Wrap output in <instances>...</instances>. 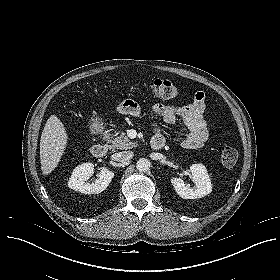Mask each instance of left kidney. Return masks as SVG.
<instances>
[{
    "label": "left kidney",
    "mask_w": 280,
    "mask_h": 280,
    "mask_svg": "<svg viewBox=\"0 0 280 280\" xmlns=\"http://www.w3.org/2000/svg\"><path fill=\"white\" fill-rule=\"evenodd\" d=\"M194 187L185 184L181 178H172L171 183L177 194L184 199H197L211 193L212 184L207 169L203 164H193L190 167Z\"/></svg>",
    "instance_id": "5707ae66"
}]
</instances>
